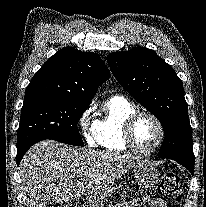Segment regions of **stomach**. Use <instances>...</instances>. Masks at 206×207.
<instances>
[{"instance_id":"obj_1","label":"stomach","mask_w":206,"mask_h":207,"mask_svg":"<svg viewBox=\"0 0 206 207\" xmlns=\"http://www.w3.org/2000/svg\"><path fill=\"white\" fill-rule=\"evenodd\" d=\"M133 176L137 185L141 188H152L158 184L160 173L154 163L148 160H138L133 167ZM117 186L112 185L108 191V197L115 192Z\"/></svg>"}]
</instances>
